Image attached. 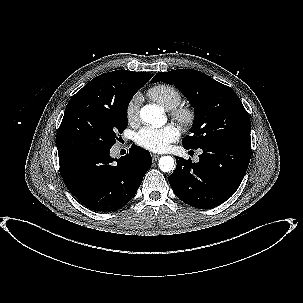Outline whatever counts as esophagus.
I'll use <instances>...</instances> for the list:
<instances>
[{"label":"esophagus","instance_id":"1","mask_svg":"<svg viewBox=\"0 0 303 303\" xmlns=\"http://www.w3.org/2000/svg\"><path fill=\"white\" fill-rule=\"evenodd\" d=\"M161 157L159 154H152V158L154 161L158 160Z\"/></svg>","mask_w":303,"mask_h":303}]
</instances>
